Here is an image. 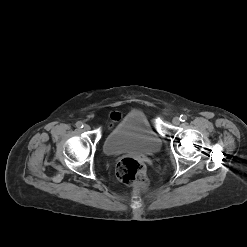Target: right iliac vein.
<instances>
[{
	"mask_svg": "<svg viewBox=\"0 0 247 247\" xmlns=\"http://www.w3.org/2000/svg\"><path fill=\"white\" fill-rule=\"evenodd\" d=\"M83 129L85 131H89L90 130V126L88 124H85L84 127H83Z\"/></svg>",
	"mask_w": 247,
	"mask_h": 247,
	"instance_id": "63e3f726",
	"label": "right iliac vein"
}]
</instances>
